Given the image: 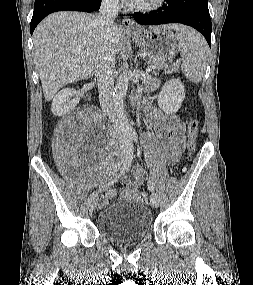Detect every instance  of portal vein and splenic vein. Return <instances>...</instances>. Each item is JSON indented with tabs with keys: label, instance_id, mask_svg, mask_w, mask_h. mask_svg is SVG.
<instances>
[{
	"label": "portal vein and splenic vein",
	"instance_id": "obj_1",
	"mask_svg": "<svg viewBox=\"0 0 253 285\" xmlns=\"http://www.w3.org/2000/svg\"><path fill=\"white\" fill-rule=\"evenodd\" d=\"M155 67L153 65H149L147 68H146V72L149 73L151 70H153Z\"/></svg>",
	"mask_w": 253,
	"mask_h": 285
}]
</instances>
